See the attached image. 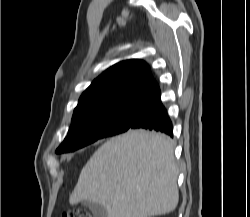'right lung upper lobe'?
Listing matches in <instances>:
<instances>
[{
	"mask_svg": "<svg viewBox=\"0 0 250 217\" xmlns=\"http://www.w3.org/2000/svg\"><path fill=\"white\" fill-rule=\"evenodd\" d=\"M158 91L147 63L136 59L121 61L103 72L86 89L73 118L119 106L140 105Z\"/></svg>",
	"mask_w": 250,
	"mask_h": 217,
	"instance_id": "right-lung-upper-lobe-1",
	"label": "right lung upper lobe"
}]
</instances>
